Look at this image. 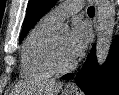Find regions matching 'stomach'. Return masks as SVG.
<instances>
[{"mask_svg": "<svg viewBox=\"0 0 119 95\" xmlns=\"http://www.w3.org/2000/svg\"><path fill=\"white\" fill-rule=\"evenodd\" d=\"M63 95H74L71 91H64Z\"/></svg>", "mask_w": 119, "mask_h": 95, "instance_id": "1", "label": "stomach"}]
</instances>
